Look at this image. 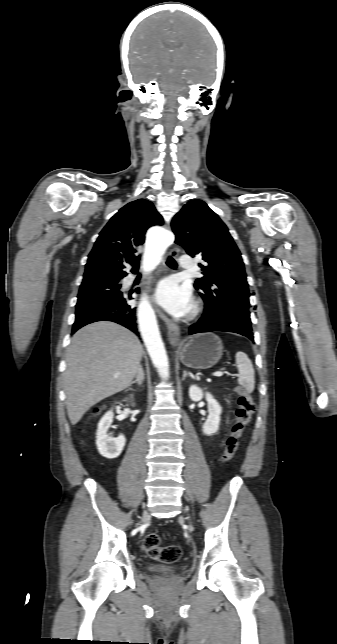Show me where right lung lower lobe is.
Instances as JSON below:
<instances>
[{
  "label": "right lung lower lobe",
  "instance_id": "obj_1",
  "mask_svg": "<svg viewBox=\"0 0 337 644\" xmlns=\"http://www.w3.org/2000/svg\"><path fill=\"white\" fill-rule=\"evenodd\" d=\"M136 271H133L135 273ZM133 291L97 303L88 304L76 308V318L73 324L72 333L81 327L96 321H113L125 326L139 336L136 323V308L128 304L133 299Z\"/></svg>",
  "mask_w": 337,
  "mask_h": 644
}]
</instances>
